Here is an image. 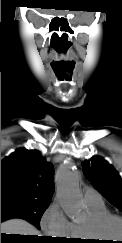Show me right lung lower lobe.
<instances>
[{
    "mask_svg": "<svg viewBox=\"0 0 122 243\" xmlns=\"http://www.w3.org/2000/svg\"><path fill=\"white\" fill-rule=\"evenodd\" d=\"M11 218H22V219H25L26 221L30 222L25 217L13 216V215H1V222L5 221V220H8V219H11ZM40 240H41L42 243H53V240L49 239V238H43V239H40Z\"/></svg>",
    "mask_w": 122,
    "mask_h": 243,
    "instance_id": "obj_1",
    "label": "right lung lower lobe"
}]
</instances>
